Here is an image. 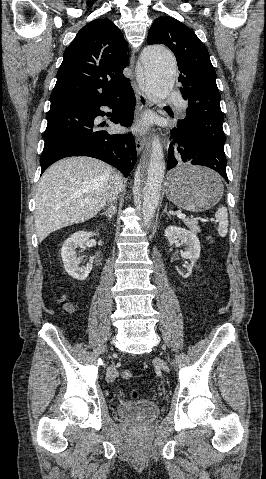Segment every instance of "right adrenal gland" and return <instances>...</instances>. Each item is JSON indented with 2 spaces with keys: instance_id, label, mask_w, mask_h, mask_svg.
Here are the masks:
<instances>
[{
  "instance_id": "1",
  "label": "right adrenal gland",
  "mask_w": 266,
  "mask_h": 479,
  "mask_svg": "<svg viewBox=\"0 0 266 479\" xmlns=\"http://www.w3.org/2000/svg\"><path fill=\"white\" fill-rule=\"evenodd\" d=\"M116 208H117L116 205L111 204L110 207L105 212L101 213V215H105L107 219L111 221L113 215H115L117 211Z\"/></svg>"
}]
</instances>
